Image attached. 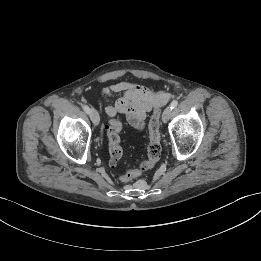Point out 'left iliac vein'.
Listing matches in <instances>:
<instances>
[{
    "mask_svg": "<svg viewBox=\"0 0 261 261\" xmlns=\"http://www.w3.org/2000/svg\"><path fill=\"white\" fill-rule=\"evenodd\" d=\"M172 109L170 107H166L162 114V121L167 123L170 119Z\"/></svg>",
    "mask_w": 261,
    "mask_h": 261,
    "instance_id": "4c4485c4",
    "label": "left iliac vein"
}]
</instances>
